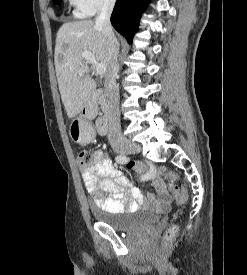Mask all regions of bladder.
I'll list each match as a JSON object with an SVG mask.
<instances>
[{
	"label": "bladder",
	"instance_id": "obj_1",
	"mask_svg": "<svg viewBox=\"0 0 247 275\" xmlns=\"http://www.w3.org/2000/svg\"><path fill=\"white\" fill-rule=\"evenodd\" d=\"M90 212L98 223L115 230H129L136 226H153L159 219L156 213L141 209L113 212L90 206Z\"/></svg>",
	"mask_w": 247,
	"mask_h": 275
}]
</instances>
